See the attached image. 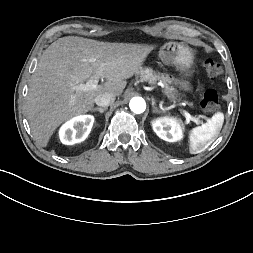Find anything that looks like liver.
Returning a JSON list of instances; mask_svg holds the SVG:
<instances>
[{
    "label": "liver",
    "mask_w": 253,
    "mask_h": 253,
    "mask_svg": "<svg viewBox=\"0 0 253 253\" xmlns=\"http://www.w3.org/2000/svg\"><path fill=\"white\" fill-rule=\"evenodd\" d=\"M153 49L150 45L74 36L53 42L41 56L27 95L26 117L36 141L46 147L54 131L63 122L90 111L98 95L120 96L126 79L139 73ZM91 78H105L106 82L98 90H73Z\"/></svg>",
    "instance_id": "liver-1"
}]
</instances>
